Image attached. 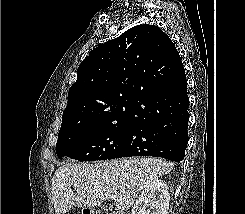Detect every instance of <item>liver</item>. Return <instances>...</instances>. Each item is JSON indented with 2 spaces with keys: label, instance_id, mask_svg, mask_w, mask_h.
Instances as JSON below:
<instances>
[{
  "label": "liver",
  "instance_id": "liver-1",
  "mask_svg": "<svg viewBox=\"0 0 245 214\" xmlns=\"http://www.w3.org/2000/svg\"><path fill=\"white\" fill-rule=\"evenodd\" d=\"M171 162L160 158H125L94 164L66 163L52 179V199L56 214H66L73 206L95 208L113 200L115 209L127 211L138 194L152 181L168 174ZM76 189V195L72 191Z\"/></svg>",
  "mask_w": 245,
  "mask_h": 214
}]
</instances>
